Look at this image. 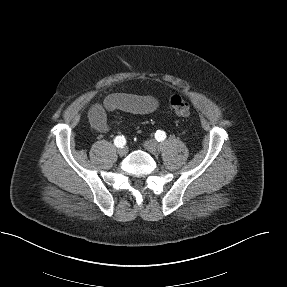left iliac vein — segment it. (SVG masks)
<instances>
[{
    "instance_id": "4c4485c4",
    "label": "left iliac vein",
    "mask_w": 287,
    "mask_h": 287,
    "mask_svg": "<svg viewBox=\"0 0 287 287\" xmlns=\"http://www.w3.org/2000/svg\"><path fill=\"white\" fill-rule=\"evenodd\" d=\"M144 147L147 151H149L152 154H157L159 152V144L154 139L145 141Z\"/></svg>"
}]
</instances>
